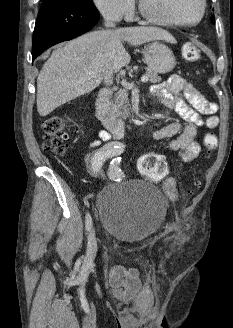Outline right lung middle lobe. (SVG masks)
Listing matches in <instances>:
<instances>
[{"instance_id": "dd1d6c3e", "label": "right lung middle lobe", "mask_w": 233, "mask_h": 328, "mask_svg": "<svg viewBox=\"0 0 233 328\" xmlns=\"http://www.w3.org/2000/svg\"><path fill=\"white\" fill-rule=\"evenodd\" d=\"M43 1H54L94 7L92 0H42V2Z\"/></svg>"}]
</instances>
